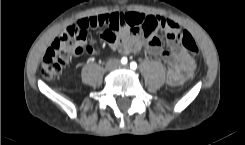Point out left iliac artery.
<instances>
[{
    "label": "left iliac artery",
    "instance_id": "44dca946",
    "mask_svg": "<svg viewBox=\"0 0 245 145\" xmlns=\"http://www.w3.org/2000/svg\"><path fill=\"white\" fill-rule=\"evenodd\" d=\"M130 68H131L132 70H136V68H137L136 62H131V63H130Z\"/></svg>",
    "mask_w": 245,
    "mask_h": 145
}]
</instances>
